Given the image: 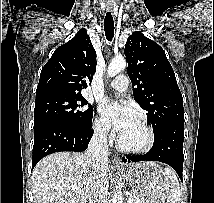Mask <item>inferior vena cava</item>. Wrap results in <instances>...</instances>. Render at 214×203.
<instances>
[{
	"mask_svg": "<svg viewBox=\"0 0 214 203\" xmlns=\"http://www.w3.org/2000/svg\"><path fill=\"white\" fill-rule=\"evenodd\" d=\"M109 129L106 127L98 128L93 134L85 154L86 162L92 171L89 179L93 181V195L89 203H108V143L107 135Z\"/></svg>",
	"mask_w": 214,
	"mask_h": 203,
	"instance_id": "inferior-vena-cava-1",
	"label": "inferior vena cava"
}]
</instances>
